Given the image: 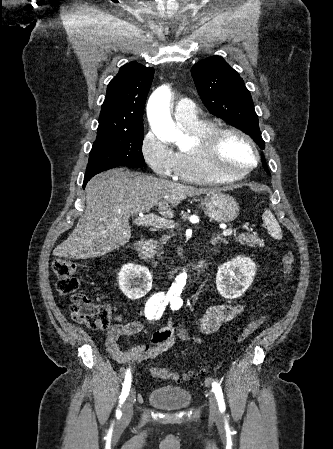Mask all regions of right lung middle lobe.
I'll use <instances>...</instances> for the list:
<instances>
[{"label": "right lung middle lobe", "instance_id": "dd1d6c3e", "mask_svg": "<svg viewBox=\"0 0 333 449\" xmlns=\"http://www.w3.org/2000/svg\"><path fill=\"white\" fill-rule=\"evenodd\" d=\"M143 128L136 132H97L89 154L86 175H95L117 167H145L142 154Z\"/></svg>", "mask_w": 333, "mask_h": 449}]
</instances>
